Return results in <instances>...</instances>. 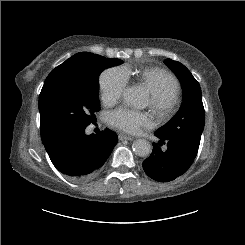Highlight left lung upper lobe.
<instances>
[{"label": "left lung upper lobe", "mask_w": 245, "mask_h": 245, "mask_svg": "<svg viewBox=\"0 0 245 245\" xmlns=\"http://www.w3.org/2000/svg\"><path fill=\"white\" fill-rule=\"evenodd\" d=\"M165 63L174 71L182 84L183 103L176 115L156 133L167 138L186 140L199 147L205 123L199 83L180 62L166 59Z\"/></svg>", "instance_id": "left-lung-upper-lobe-1"}]
</instances>
